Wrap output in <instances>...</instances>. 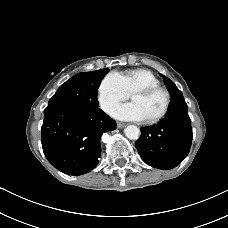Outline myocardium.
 I'll return each instance as SVG.
<instances>
[{"label":"myocardium","instance_id":"1","mask_svg":"<svg viewBox=\"0 0 228 228\" xmlns=\"http://www.w3.org/2000/svg\"><path fill=\"white\" fill-rule=\"evenodd\" d=\"M160 93L164 97V106L159 114H157L155 117L150 119H145L146 123L148 124H155L159 121H161L168 113L170 106H171V95L168 90L165 88H162L160 86L157 87H142L134 92H132V95H142V96H149L152 94Z\"/></svg>","mask_w":228,"mask_h":228}]
</instances>
